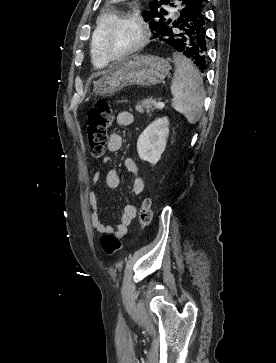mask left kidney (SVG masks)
I'll return each mask as SVG.
<instances>
[{
	"mask_svg": "<svg viewBox=\"0 0 276 363\" xmlns=\"http://www.w3.org/2000/svg\"><path fill=\"white\" fill-rule=\"evenodd\" d=\"M169 134L167 117L156 119L149 124L137 140V151L141 160L155 165L165 150Z\"/></svg>",
	"mask_w": 276,
	"mask_h": 363,
	"instance_id": "left-kidney-1",
	"label": "left kidney"
}]
</instances>
